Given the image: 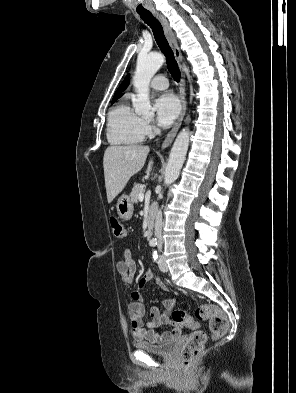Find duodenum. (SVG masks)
<instances>
[{"label": "duodenum", "mask_w": 296, "mask_h": 393, "mask_svg": "<svg viewBox=\"0 0 296 393\" xmlns=\"http://www.w3.org/2000/svg\"><path fill=\"white\" fill-rule=\"evenodd\" d=\"M155 214H156V206H151L149 213H148V226H147V237L148 238H150L153 235Z\"/></svg>", "instance_id": "410a0bca"}]
</instances>
